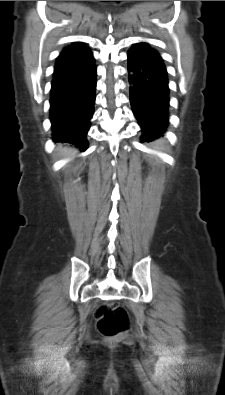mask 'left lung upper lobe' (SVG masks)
I'll list each match as a JSON object with an SVG mask.
<instances>
[{
	"instance_id": "5c2ea615",
	"label": "left lung upper lobe",
	"mask_w": 225,
	"mask_h": 395,
	"mask_svg": "<svg viewBox=\"0 0 225 395\" xmlns=\"http://www.w3.org/2000/svg\"><path fill=\"white\" fill-rule=\"evenodd\" d=\"M129 51L138 58L162 59L158 51L145 42L135 44Z\"/></svg>"
}]
</instances>
